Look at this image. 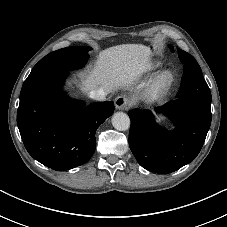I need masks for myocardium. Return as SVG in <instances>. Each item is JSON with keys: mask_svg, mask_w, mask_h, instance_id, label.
<instances>
[{"mask_svg": "<svg viewBox=\"0 0 227 227\" xmlns=\"http://www.w3.org/2000/svg\"><path fill=\"white\" fill-rule=\"evenodd\" d=\"M176 81L175 73L170 69L157 72L147 84L143 97L148 102H155L165 97Z\"/></svg>", "mask_w": 227, "mask_h": 227, "instance_id": "1", "label": "myocardium"}]
</instances>
